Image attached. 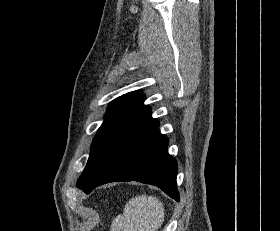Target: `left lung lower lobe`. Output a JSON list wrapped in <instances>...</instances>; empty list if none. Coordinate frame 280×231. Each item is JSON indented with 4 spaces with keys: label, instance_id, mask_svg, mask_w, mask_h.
<instances>
[{
    "label": "left lung lower lobe",
    "instance_id": "1",
    "mask_svg": "<svg viewBox=\"0 0 280 231\" xmlns=\"http://www.w3.org/2000/svg\"><path fill=\"white\" fill-rule=\"evenodd\" d=\"M167 146V137L149 114L123 128L102 147L77 187L89 194L105 183L135 180L156 185L179 201L177 163Z\"/></svg>",
    "mask_w": 280,
    "mask_h": 231
}]
</instances>
